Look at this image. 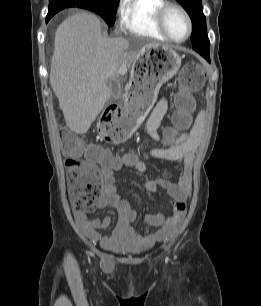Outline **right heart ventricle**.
<instances>
[{
	"label": "right heart ventricle",
	"instance_id": "obj_1",
	"mask_svg": "<svg viewBox=\"0 0 261 306\" xmlns=\"http://www.w3.org/2000/svg\"><path fill=\"white\" fill-rule=\"evenodd\" d=\"M166 0H124L121 6V29L143 38L167 41L156 23L158 10Z\"/></svg>",
	"mask_w": 261,
	"mask_h": 306
}]
</instances>
